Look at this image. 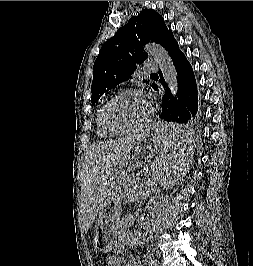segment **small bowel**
Returning <instances> with one entry per match:
<instances>
[{
  "label": "small bowel",
  "mask_w": 253,
  "mask_h": 266,
  "mask_svg": "<svg viewBox=\"0 0 253 266\" xmlns=\"http://www.w3.org/2000/svg\"><path fill=\"white\" fill-rule=\"evenodd\" d=\"M144 260H145V263H146V266H151V256L150 255H146L144 257ZM109 261H116L117 262V266H139L137 262L133 261V260H126V261H122L120 260L119 258L117 257H110L108 259V262Z\"/></svg>",
  "instance_id": "c3829d8e"
}]
</instances>
